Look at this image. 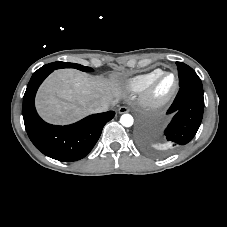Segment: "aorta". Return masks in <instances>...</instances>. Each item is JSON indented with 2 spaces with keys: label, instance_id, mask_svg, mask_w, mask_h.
<instances>
[{
  "label": "aorta",
  "instance_id": "obj_1",
  "mask_svg": "<svg viewBox=\"0 0 227 227\" xmlns=\"http://www.w3.org/2000/svg\"><path fill=\"white\" fill-rule=\"evenodd\" d=\"M120 122L125 127H131L133 125V117L130 114H123L120 118Z\"/></svg>",
  "mask_w": 227,
  "mask_h": 227
}]
</instances>
